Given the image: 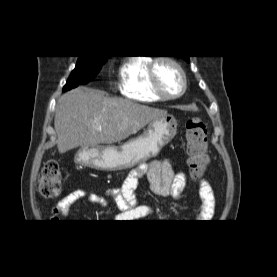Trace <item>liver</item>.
Wrapping results in <instances>:
<instances>
[{
  "mask_svg": "<svg viewBox=\"0 0 277 277\" xmlns=\"http://www.w3.org/2000/svg\"><path fill=\"white\" fill-rule=\"evenodd\" d=\"M167 111L107 97L104 92L79 87L62 95L54 126L60 153L79 146L113 144L136 134Z\"/></svg>",
  "mask_w": 277,
  "mask_h": 277,
  "instance_id": "liver-1",
  "label": "liver"
}]
</instances>
